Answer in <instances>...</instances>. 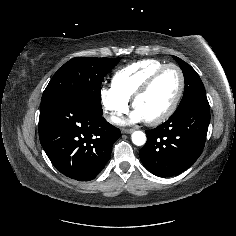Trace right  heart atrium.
<instances>
[{"label":"right heart atrium","mask_w":236,"mask_h":236,"mask_svg":"<svg viewBox=\"0 0 236 236\" xmlns=\"http://www.w3.org/2000/svg\"><path fill=\"white\" fill-rule=\"evenodd\" d=\"M99 96L104 114L112 122L126 113L129 108L130 101L121 95L113 85L102 87Z\"/></svg>","instance_id":"obj_1"}]
</instances>
